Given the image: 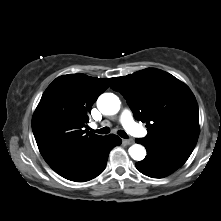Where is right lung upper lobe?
Here are the masks:
<instances>
[{"mask_svg":"<svg viewBox=\"0 0 221 221\" xmlns=\"http://www.w3.org/2000/svg\"><path fill=\"white\" fill-rule=\"evenodd\" d=\"M114 79L68 74L48 86L32 118L33 134L47 163L73 155L103 137L86 129L88 113Z\"/></svg>","mask_w":221,"mask_h":221,"instance_id":"cb5924a9","label":"right lung upper lobe"}]
</instances>
